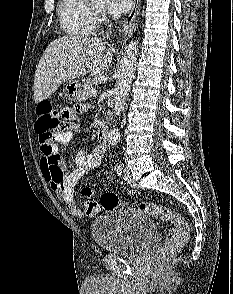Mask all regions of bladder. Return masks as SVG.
<instances>
[{"label": "bladder", "instance_id": "obj_1", "mask_svg": "<svg viewBox=\"0 0 233 294\" xmlns=\"http://www.w3.org/2000/svg\"><path fill=\"white\" fill-rule=\"evenodd\" d=\"M96 245L120 255H137L156 238L153 221L140 210L119 206L99 216L91 226Z\"/></svg>", "mask_w": 233, "mask_h": 294}]
</instances>
